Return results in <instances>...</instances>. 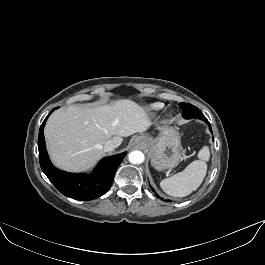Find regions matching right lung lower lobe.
Returning <instances> with one entry per match:
<instances>
[{"mask_svg":"<svg viewBox=\"0 0 265 265\" xmlns=\"http://www.w3.org/2000/svg\"><path fill=\"white\" fill-rule=\"evenodd\" d=\"M48 116L40 127L38 138L39 160L42 171L52 184L67 197L76 200H92L104 195L109 190L115 172L126 152L102 159L90 176L61 171L52 165L46 151L43 130Z\"/></svg>","mask_w":265,"mask_h":265,"instance_id":"98d812e1","label":"right lung lower lobe"}]
</instances>
